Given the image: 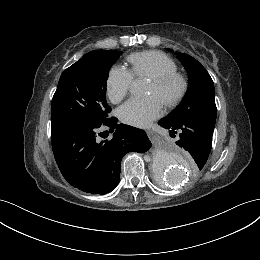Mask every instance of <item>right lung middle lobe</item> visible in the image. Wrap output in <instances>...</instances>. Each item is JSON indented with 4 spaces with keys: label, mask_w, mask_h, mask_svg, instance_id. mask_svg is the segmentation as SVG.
<instances>
[{
    "label": "right lung middle lobe",
    "mask_w": 260,
    "mask_h": 260,
    "mask_svg": "<svg viewBox=\"0 0 260 260\" xmlns=\"http://www.w3.org/2000/svg\"><path fill=\"white\" fill-rule=\"evenodd\" d=\"M116 50H94L61 75L52 99L51 129L69 124H102L111 108L106 101V82Z\"/></svg>",
    "instance_id": "dd1d6c3e"
}]
</instances>
